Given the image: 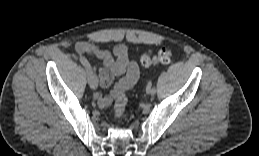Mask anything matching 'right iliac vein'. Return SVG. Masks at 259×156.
Here are the masks:
<instances>
[{"mask_svg":"<svg viewBox=\"0 0 259 156\" xmlns=\"http://www.w3.org/2000/svg\"><path fill=\"white\" fill-rule=\"evenodd\" d=\"M89 86L93 90H95L97 88L98 81H97V78H96L95 74H92V78L89 81Z\"/></svg>","mask_w":259,"mask_h":156,"instance_id":"63e3f726","label":"right iliac vein"}]
</instances>
